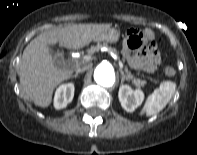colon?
I'll use <instances>...</instances> for the list:
<instances>
[{"instance_id":"colon-1","label":"colon","mask_w":197,"mask_h":155,"mask_svg":"<svg viewBox=\"0 0 197 155\" xmlns=\"http://www.w3.org/2000/svg\"><path fill=\"white\" fill-rule=\"evenodd\" d=\"M127 42L128 46L133 51L144 52L147 49V43L153 45V38L148 35L147 32H142L137 29H130L127 32ZM174 69L172 67H167L165 73L169 76L174 74Z\"/></svg>"}]
</instances>
